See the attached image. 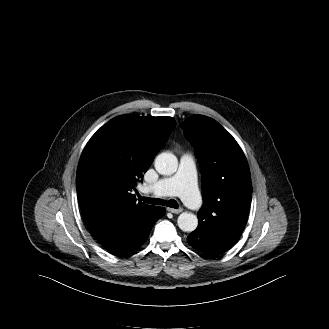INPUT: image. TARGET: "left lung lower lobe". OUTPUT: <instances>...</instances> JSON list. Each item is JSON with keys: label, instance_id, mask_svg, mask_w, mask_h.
Listing matches in <instances>:
<instances>
[{"label": "left lung lower lobe", "instance_id": "obj_1", "mask_svg": "<svg viewBox=\"0 0 329 329\" xmlns=\"http://www.w3.org/2000/svg\"><path fill=\"white\" fill-rule=\"evenodd\" d=\"M246 223L229 222L222 230H206L199 226L188 237V243L199 252L217 256L229 250L238 241Z\"/></svg>", "mask_w": 329, "mask_h": 329}]
</instances>
